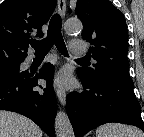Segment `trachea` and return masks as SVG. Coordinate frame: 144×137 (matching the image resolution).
Instances as JSON below:
<instances>
[{"instance_id":"trachea-1","label":"trachea","mask_w":144,"mask_h":137,"mask_svg":"<svg viewBox=\"0 0 144 137\" xmlns=\"http://www.w3.org/2000/svg\"><path fill=\"white\" fill-rule=\"evenodd\" d=\"M61 17L59 14H54L50 20L47 37L40 40L30 41L31 46L35 49L36 54H47L55 44L57 50L64 56L68 55L66 45L61 34ZM79 60L85 61L84 58Z\"/></svg>"}]
</instances>
